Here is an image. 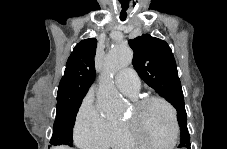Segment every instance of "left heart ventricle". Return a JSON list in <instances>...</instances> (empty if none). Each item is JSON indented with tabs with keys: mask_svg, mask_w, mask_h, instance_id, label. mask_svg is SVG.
I'll use <instances>...</instances> for the list:
<instances>
[{
	"mask_svg": "<svg viewBox=\"0 0 227 149\" xmlns=\"http://www.w3.org/2000/svg\"><path fill=\"white\" fill-rule=\"evenodd\" d=\"M127 119H135L137 129L149 140L169 143L173 136L170 111L161 103H151L139 113L132 109Z\"/></svg>",
	"mask_w": 227,
	"mask_h": 149,
	"instance_id": "obj_1",
	"label": "left heart ventricle"
}]
</instances>
